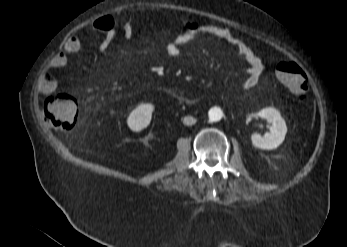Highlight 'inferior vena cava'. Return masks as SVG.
I'll return each instance as SVG.
<instances>
[{
	"label": "inferior vena cava",
	"mask_w": 347,
	"mask_h": 247,
	"mask_svg": "<svg viewBox=\"0 0 347 247\" xmlns=\"http://www.w3.org/2000/svg\"><path fill=\"white\" fill-rule=\"evenodd\" d=\"M196 118H194V117H192V116H186V117H184V119H183V123L185 124V125H193V124H195L196 123Z\"/></svg>",
	"instance_id": "1"
}]
</instances>
